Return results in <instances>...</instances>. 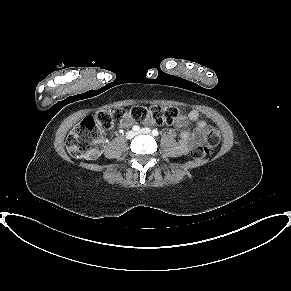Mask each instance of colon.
Returning a JSON list of instances; mask_svg holds the SVG:
<instances>
[{"label": "colon", "mask_w": 291, "mask_h": 291, "mask_svg": "<svg viewBox=\"0 0 291 291\" xmlns=\"http://www.w3.org/2000/svg\"><path fill=\"white\" fill-rule=\"evenodd\" d=\"M183 115L176 107L135 106L129 111L122 108L104 109L86 116L69 133L66 148L78 159L91 160L101 152V131L111 129L125 118L135 122H150L156 124L172 123ZM204 145L195 146L190 150L194 160L202 159L220 142V133L214 126H207L204 132Z\"/></svg>", "instance_id": "colon-1"}]
</instances>
